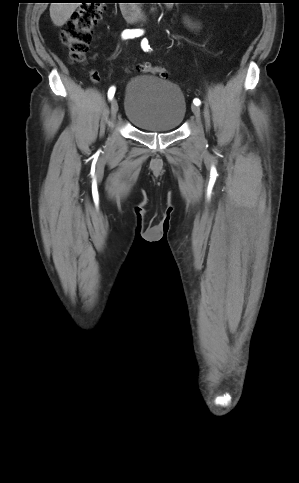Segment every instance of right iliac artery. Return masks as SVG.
<instances>
[{
    "mask_svg": "<svg viewBox=\"0 0 299 483\" xmlns=\"http://www.w3.org/2000/svg\"><path fill=\"white\" fill-rule=\"evenodd\" d=\"M143 32L144 31L141 30V29H132V30L126 29L122 33V38L123 39H128V38L139 37V36H141L143 34ZM114 94H115V87L112 86L108 90V98L111 100L113 98Z\"/></svg>",
    "mask_w": 299,
    "mask_h": 483,
    "instance_id": "82829eb1",
    "label": "right iliac artery"
}]
</instances>
